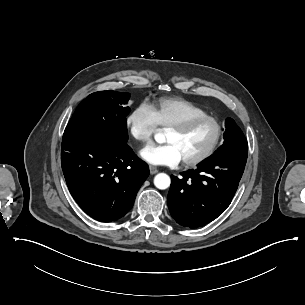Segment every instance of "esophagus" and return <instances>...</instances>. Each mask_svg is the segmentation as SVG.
Wrapping results in <instances>:
<instances>
[{
	"label": "esophagus",
	"mask_w": 305,
	"mask_h": 305,
	"mask_svg": "<svg viewBox=\"0 0 305 305\" xmlns=\"http://www.w3.org/2000/svg\"><path fill=\"white\" fill-rule=\"evenodd\" d=\"M149 171L151 175H154L158 172L157 168L152 165L149 166Z\"/></svg>",
	"instance_id": "1"
}]
</instances>
